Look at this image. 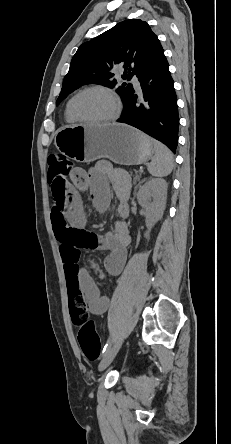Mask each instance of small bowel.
Here are the masks:
<instances>
[{
  "mask_svg": "<svg viewBox=\"0 0 231 444\" xmlns=\"http://www.w3.org/2000/svg\"><path fill=\"white\" fill-rule=\"evenodd\" d=\"M49 182V181H48ZM50 188L51 183L49 182ZM111 185L119 200L118 216L114 228L97 234L84 228L85 215L80 191L87 189L93 205L100 211L105 210L111 200ZM131 183L129 177L114 170L108 163H98L89 172L75 171L64 187L58 190L56 205L51 213L54 235L60 243L59 249L64 266L67 286L74 284L82 293L88 311L94 315L105 313L109 298L101 294L100 288L89 272L79 264L83 249L104 250L106 274H120L127 258L130 242L128 228L124 220L128 216V199ZM103 276L102 273H100Z\"/></svg>",
  "mask_w": 231,
  "mask_h": 444,
  "instance_id": "obj_1",
  "label": "small bowel"
}]
</instances>
